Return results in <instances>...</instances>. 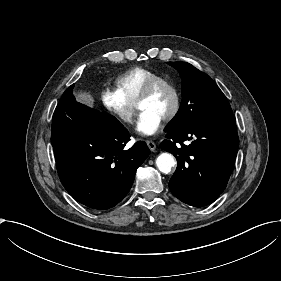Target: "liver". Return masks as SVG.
<instances>
[{
  "mask_svg": "<svg viewBox=\"0 0 281 281\" xmlns=\"http://www.w3.org/2000/svg\"><path fill=\"white\" fill-rule=\"evenodd\" d=\"M76 99L77 101L86 104L90 107L94 106V98L92 97V95L88 92H79L76 95Z\"/></svg>",
  "mask_w": 281,
  "mask_h": 281,
  "instance_id": "obj_1",
  "label": "liver"
}]
</instances>
